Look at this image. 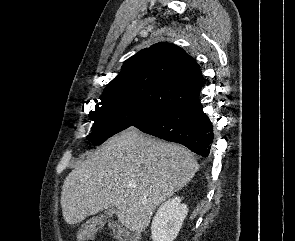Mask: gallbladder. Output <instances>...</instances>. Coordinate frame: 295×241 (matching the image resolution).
I'll list each match as a JSON object with an SVG mask.
<instances>
[{
  "mask_svg": "<svg viewBox=\"0 0 295 241\" xmlns=\"http://www.w3.org/2000/svg\"><path fill=\"white\" fill-rule=\"evenodd\" d=\"M114 212H115V209H114V208H109V209L106 211V214H107V215H112Z\"/></svg>",
  "mask_w": 295,
  "mask_h": 241,
  "instance_id": "1",
  "label": "gallbladder"
}]
</instances>
